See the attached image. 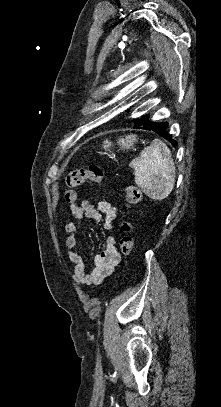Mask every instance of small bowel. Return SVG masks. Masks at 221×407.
Masks as SVG:
<instances>
[{"instance_id":"c3829d8e","label":"small bowel","mask_w":221,"mask_h":407,"mask_svg":"<svg viewBox=\"0 0 221 407\" xmlns=\"http://www.w3.org/2000/svg\"><path fill=\"white\" fill-rule=\"evenodd\" d=\"M70 210L74 221L66 222L64 229L68 233V237L65 241L68 259L74 266L72 275L73 281L83 286L98 285L112 273L117 264L114 258L120 257L116 248V239L114 236L107 238L106 249L95 257L94 269L91 272H87L83 255L77 247L78 233L81 221L84 217L94 222L103 221L105 229H112L117 217V208L110 201L102 199L96 206L86 200L72 203Z\"/></svg>"}]
</instances>
